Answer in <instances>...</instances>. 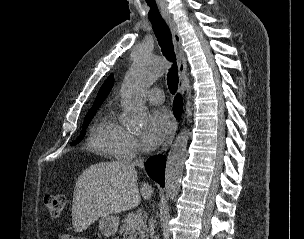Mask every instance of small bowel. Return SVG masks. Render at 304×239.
Masks as SVG:
<instances>
[{
  "label": "small bowel",
  "instance_id": "1",
  "mask_svg": "<svg viewBox=\"0 0 304 239\" xmlns=\"http://www.w3.org/2000/svg\"><path fill=\"white\" fill-rule=\"evenodd\" d=\"M58 239H75L72 235L67 233H60Z\"/></svg>",
  "mask_w": 304,
  "mask_h": 239
}]
</instances>
